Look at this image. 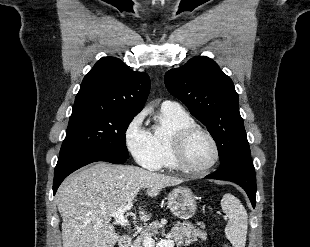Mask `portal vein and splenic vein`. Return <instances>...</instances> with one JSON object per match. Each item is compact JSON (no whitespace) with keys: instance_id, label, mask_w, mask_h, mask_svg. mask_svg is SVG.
Returning <instances> with one entry per match:
<instances>
[{"instance_id":"18ae733b","label":"portal vein and splenic vein","mask_w":310,"mask_h":247,"mask_svg":"<svg viewBox=\"0 0 310 247\" xmlns=\"http://www.w3.org/2000/svg\"><path fill=\"white\" fill-rule=\"evenodd\" d=\"M133 207V203L129 202L125 207L119 208L112 212L111 216L115 219V223L121 226L129 225L128 219L124 214ZM143 244L145 247H174V241L171 239L161 240L157 243L153 240L151 236H145L143 239Z\"/></svg>"}]
</instances>
